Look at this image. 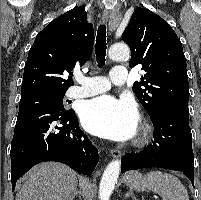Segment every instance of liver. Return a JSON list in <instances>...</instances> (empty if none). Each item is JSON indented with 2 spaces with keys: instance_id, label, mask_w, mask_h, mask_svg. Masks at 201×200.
Listing matches in <instances>:
<instances>
[{
  "instance_id": "1",
  "label": "liver",
  "mask_w": 201,
  "mask_h": 200,
  "mask_svg": "<svg viewBox=\"0 0 201 200\" xmlns=\"http://www.w3.org/2000/svg\"><path fill=\"white\" fill-rule=\"evenodd\" d=\"M77 184L75 172L61 163L35 166L16 196V200H70Z\"/></svg>"
}]
</instances>
